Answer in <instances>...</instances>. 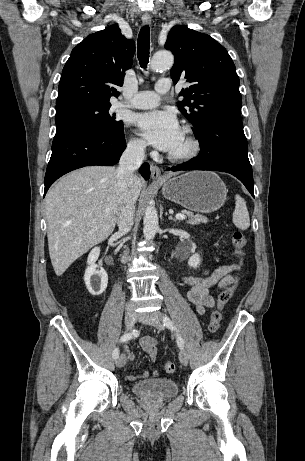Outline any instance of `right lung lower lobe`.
Returning <instances> with one entry per match:
<instances>
[{
    "mask_svg": "<svg viewBox=\"0 0 305 461\" xmlns=\"http://www.w3.org/2000/svg\"><path fill=\"white\" fill-rule=\"evenodd\" d=\"M125 148L123 127L115 132L79 125L57 127L45 174L44 196L53 182L74 169L89 165H114ZM139 171L145 180L149 179V164L143 163Z\"/></svg>",
    "mask_w": 305,
    "mask_h": 461,
    "instance_id": "right-lung-lower-lobe-1",
    "label": "right lung lower lobe"
}]
</instances>
